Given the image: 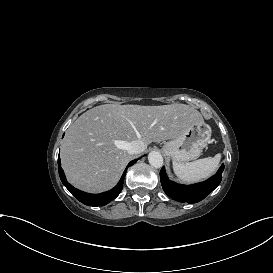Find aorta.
Wrapping results in <instances>:
<instances>
[{"mask_svg": "<svg viewBox=\"0 0 273 273\" xmlns=\"http://www.w3.org/2000/svg\"><path fill=\"white\" fill-rule=\"evenodd\" d=\"M149 164L155 168H160L163 165V157L160 152L152 151L148 155Z\"/></svg>", "mask_w": 273, "mask_h": 273, "instance_id": "obj_1", "label": "aorta"}]
</instances>
